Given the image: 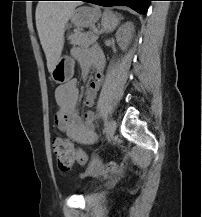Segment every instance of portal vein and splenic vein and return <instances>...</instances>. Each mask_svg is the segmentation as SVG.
Wrapping results in <instances>:
<instances>
[{
  "instance_id": "obj_1",
  "label": "portal vein and splenic vein",
  "mask_w": 202,
  "mask_h": 217,
  "mask_svg": "<svg viewBox=\"0 0 202 217\" xmlns=\"http://www.w3.org/2000/svg\"><path fill=\"white\" fill-rule=\"evenodd\" d=\"M94 31H95V32H98V30H97V29H95Z\"/></svg>"
}]
</instances>
